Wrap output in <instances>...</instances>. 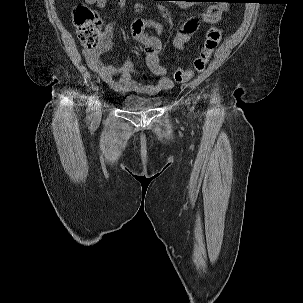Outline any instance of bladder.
<instances>
[{
    "mask_svg": "<svg viewBox=\"0 0 303 303\" xmlns=\"http://www.w3.org/2000/svg\"><path fill=\"white\" fill-rule=\"evenodd\" d=\"M162 104L160 95H127L121 101L122 109L125 111L136 112L146 111L159 107Z\"/></svg>",
    "mask_w": 303,
    "mask_h": 303,
    "instance_id": "1",
    "label": "bladder"
}]
</instances>
